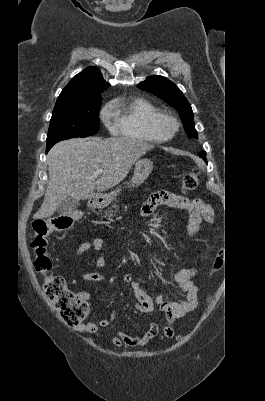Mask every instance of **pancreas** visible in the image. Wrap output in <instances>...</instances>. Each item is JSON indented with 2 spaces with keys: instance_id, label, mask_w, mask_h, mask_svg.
<instances>
[{
  "instance_id": "cf45deb5",
  "label": "pancreas",
  "mask_w": 265,
  "mask_h": 401,
  "mask_svg": "<svg viewBox=\"0 0 265 401\" xmlns=\"http://www.w3.org/2000/svg\"><path fill=\"white\" fill-rule=\"evenodd\" d=\"M116 203H119V201H116ZM117 209H119V205H111L109 211H107L106 215L107 217H116Z\"/></svg>"
}]
</instances>
